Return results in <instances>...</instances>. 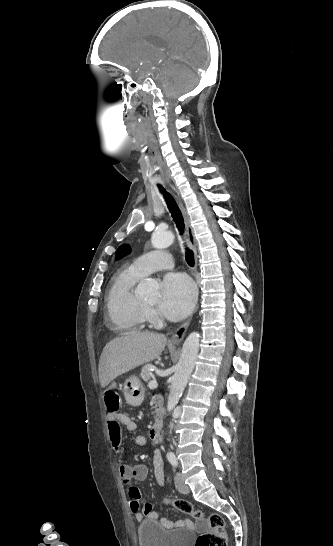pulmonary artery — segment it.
Listing matches in <instances>:
<instances>
[{"label": "pulmonary artery", "mask_w": 333, "mask_h": 546, "mask_svg": "<svg viewBox=\"0 0 333 546\" xmlns=\"http://www.w3.org/2000/svg\"><path fill=\"white\" fill-rule=\"evenodd\" d=\"M174 265L173 257L163 250H155L137 257L131 266L143 275L155 271L171 269Z\"/></svg>", "instance_id": "e3ab8cb5"}]
</instances>
